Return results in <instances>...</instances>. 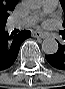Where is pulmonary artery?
Here are the masks:
<instances>
[{"label":"pulmonary artery","instance_id":"pulmonary-artery-1","mask_svg":"<svg viewBox=\"0 0 65 89\" xmlns=\"http://www.w3.org/2000/svg\"><path fill=\"white\" fill-rule=\"evenodd\" d=\"M56 0H45L43 2L42 11L40 13L31 14L27 17L12 19L9 22V27L14 28H26L34 25L43 14L51 13L57 7Z\"/></svg>","mask_w":65,"mask_h":89}]
</instances>
